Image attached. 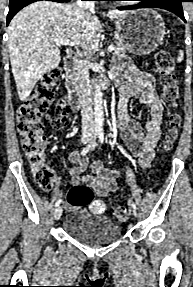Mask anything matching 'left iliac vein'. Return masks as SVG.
<instances>
[{"mask_svg":"<svg viewBox=\"0 0 193 287\" xmlns=\"http://www.w3.org/2000/svg\"><path fill=\"white\" fill-rule=\"evenodd\" d=\"M133 214H134L135 216H137V211H136V209H134V208H133Z\"/></svg>","mask_w":193,"mask_h":287,"instance_id":"left-iliac-vein-1","label":"left iliac vein"}]
</instances>
